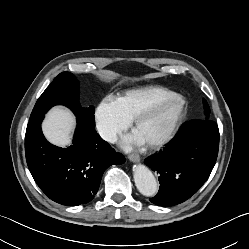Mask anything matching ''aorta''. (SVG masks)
Segmentation results:
<instances>
[{
    "label": "aorta",
    "instance_id": "1",
    "mask_svg": "<svg viewBox=\"0 0 249 249\" xmlns=\"http://www.w3.org/2000/svg\"><path fill=\"white\" fill-rule=\"evenodd\" d=\"M134 182L138 191L147 197L154 196L158 191V186L153 173L144 165L134 166Z\"/></svg>",
    "mask_w": 249,
    "mask_h": 249
}]
</instances>
